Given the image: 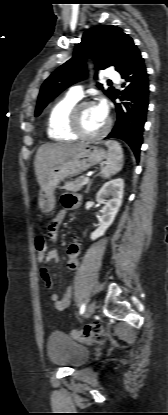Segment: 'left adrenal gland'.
<instances>
[{"label":"left adrenal gland","mask_w":168,"mask_h":415,"mask_svg":"<svg viewBox=\"0 0 168 415\" xmlns=\"http://www.w3.org/2000/svg\"><path fill=\"white\" fill-rule=\"evenodd\" d=\"M102 168L103 167H100V169L102 170ZM100 174V173H99ZM92 181L93 180H90V182L88 183V186H87V188H86V191H85V193L87 194L88 192H89V190H90V186H91V184H92Z\"/></svg>","instance_id":"a2214340"}]
</instances>
